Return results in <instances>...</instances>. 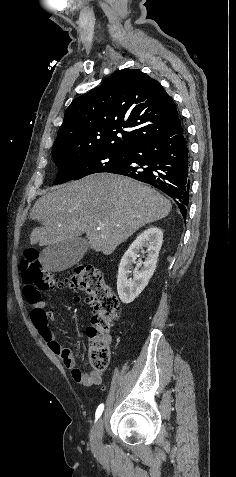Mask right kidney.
I'll return each instance as SVG.
<instances>
[{
  "mask_svg": "<svg viewBox=\"0 0 236 477\" xmlns=\"http://www.w3.org/2000/svg\"><path fill=\"white\" fill-rule=\"evenodd\" d=\"M162 242L161 229L150 227L136 238L123 255L117 277V291L123 303H131L147 286L155 271ZM144 247L147 253L145 261L136 262ZM133 264H136V269L133 271L134 279L131 280L129 274Z\"/></svg>",
  "mask_w": 236,
  "mask_h": 477,
  "instance_id": "obj_1",
  "label": "right kidney"
}]
</instances>
